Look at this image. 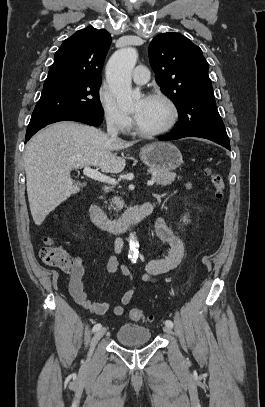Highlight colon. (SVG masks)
I'll list each match as a JSON object with an SVG mask.
<instances>
[{"label": "colon", "instance_id": "1", "mask_svg": "<svg viewBox=\"0 0 265 407\" xmlns=\"http://www.w3.org/2000/svg\"><path fill=\"white\" fill-rule=\"evenodd\" d=\"M205 173L214 188V197L222 199L225 191V183L222 175L212 167H206ZM40 258L47 266L64 271H71L74 266L72 257L61 247L57 246L50 237H46L39 252ZM130 318L134 321L151 322L153 317L145 314L140 309H131Z\"/></svg>", "mask_w": 265, "mask_h": 407}]
</instances>
